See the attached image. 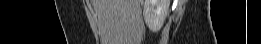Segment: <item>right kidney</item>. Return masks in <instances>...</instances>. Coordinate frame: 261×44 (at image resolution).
<instances>
[{
    "label": "right kidney",
    "instance_id": "1",
    "mask_svg": "<svg viewBox=\"0 0 261 44\" xmlns=\"http://www.w3.org/2000/svg\"><path fill=\"white\" fill-rule=\"evenodd\" d=\"M170 0H145L143 16L148 28L157 32L163 26Z\"/></svg>",
    "mask_w": 261,
    "mask_h": 44
}]
</instances>
